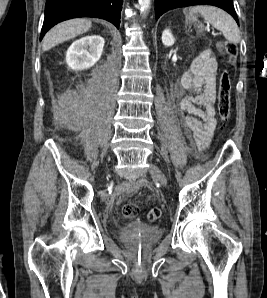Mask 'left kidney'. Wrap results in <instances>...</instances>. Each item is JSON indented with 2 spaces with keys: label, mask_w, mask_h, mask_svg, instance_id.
<instances>
[{
  "label": "left kidney",
  "mask_w": 267,
  "mask_h": 298,
  "mask_svg": "<svg viewBox=\"0 0 267 298\" xmlns=\"http://www.w3.org/2000/svg\"><path fill=\"white\" fill-rule=\"evenodd\" d=\"M162 42L165 46H172L174 44L175 38L169 29L164 30L162 34Z\"/></svg>",
  "instance_id": "5707ae66"
}]
</instances>
